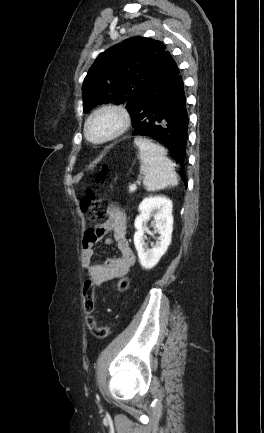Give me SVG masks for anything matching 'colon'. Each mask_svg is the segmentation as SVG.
Returning <instances> with one entry per match:
<instances>
[{
	"mask_svg": "<svg viewBox=\"0 0 264 433\" xmlns=\"http://www.w3.org/2000/svg\"><path fill=\"white\" fill-rule=\"evenodd\" d=\"M107 173V167L101 165L93 178V186H100L104 183ZM81 207L84 212L87 213L91 221H98L103 219L104 213L101 209V198L95 190L87 191L81 199ZM129 286V279L122 277L117 282V290L120 292L125 291ZM83 306L86 314V323L91 333L97 338H106L111 333V327L109 325H96L93 318L94 311V296H95V284L87 278L83 285Z\"/></svg>",
	"mask_w": 264,
	"mask_h": 433,
	"instance_id": "colon-1",
	"label": "colon"
}]
</instances>
